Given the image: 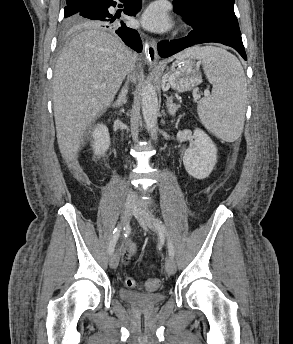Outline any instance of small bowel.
I'll list each match as a JSON object with an SVG mask.
<instances>
[{"mask_svg": "<svg viewBox=\"0 0 293 344\" xmlns=\"http://www.w3.org/2000/svg\"><path fill=\"white\" fill-rule=\"evenodd\" d=\"M136 246L134 243H128V245L122 251V257L124 261H128L131 254L135 253Z\"/></svg>", "mask_w": 293, "mask_h": 344, "instance_id": "c3829d8e", "label": "small bowel"}]
</instances>
